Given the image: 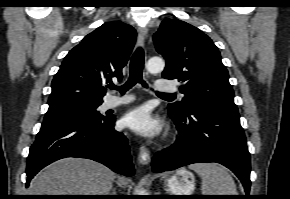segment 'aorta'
I'll return each instance as SVG.
<instances>
[{"label": "aorta", "mask_w": 290, "mask_h": 199, "mask_svg": "<svg viewBox=\"0 0 290 199\" xmlns=\"http://www.w3.org/2000/svg\"><path fill=\"white\" fill-rule=\"evenodd\" d=\"M164 67H165V62L160 57L150 58L146 65L147 71L152 74L163 71ZM139 195H146V191L143 189L140 190Z\"/></svg>", "instance_id": "762f6f07"}]
</instances>
